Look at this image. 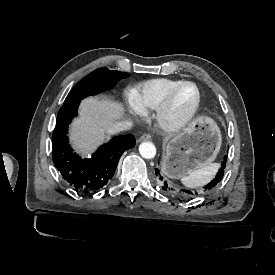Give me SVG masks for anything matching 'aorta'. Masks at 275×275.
Masks as SVG:
<instances>
[{
    "mask_svg": "<svg viewBox=\"0 0 275 275\" xmlns=\"http://www.w3.org/2000/svg\"><path fill=\"white\" fill-rule=\"evenodd\" d=\"M140 155L145 159H153L156 156L157 150L152 142H142L139 146Z\"/></svg>",
    "mask_w": 275,
    "mask_h": 275,
    "instance_id": "obj_1",
    "label": "aorta"
}]
</instances>
